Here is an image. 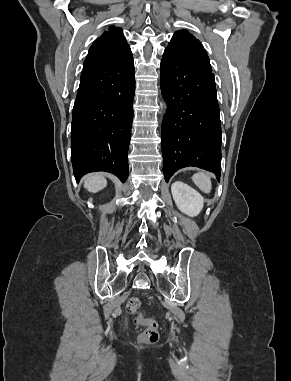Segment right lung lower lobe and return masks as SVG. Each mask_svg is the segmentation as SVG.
Wrapping results in <instances>:
<instances>
[{"label": "right lung lower lobe", "mask_w": 291, "mask_h": 381, "mask_svg": "<svg viewBox=\"0 0 291 381\" xmlns=\"http://www.w3.org/2000/svg\"><path fill=\"white\" fill-rule=\"evenodd\" d=\"M135 93L131 51L86 58L73 107L71 160L77 181L106 171L125 182Z\"/></svg>", "instance_id": "obj_1"}]
</instances>
